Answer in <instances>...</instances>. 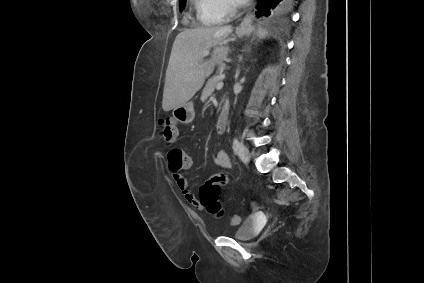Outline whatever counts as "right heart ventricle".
Listing matches in <instances>:
<instances>
[{
  "instance_id": "obj_1",
  "label": "right heart ventricle",
  "mask_w": 424,
  "mask_h": 283,
  "mask_svg": "<svg viewBox=\"0 0 424 283\" xmlns=\"http://www.w3.org/2000/svg\"><path fill=\"white\" fill-rule=\"evenodd\" d=\"M198 5L200 2H197ZM199 17L201 21L206 25H213L221 22V18L214 14H206L202 10L199 9Z\"/></svg>"
}]
</instances>
